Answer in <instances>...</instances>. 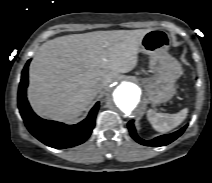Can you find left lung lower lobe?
Here are the masks:
<instances>
[{
  "mask_svg": "<svg viewBox=\"0 0 212 183\" xmlns=\"http://www.w3.org/2000/svg\"><path fill=\"white\" fill-rule=\"evenodd\" d=\"M187 126L183 127L182 129L172 133V134H167V135H162L159 137H156L155 139H153L152 141H145L143 139H141L140 137H138V135L136 134L135 128H134V124H133V120H131L128 123V128L131 134V137L138 143L142 144V145H146V146H165L171 142H173L175 139H177L186 129Z\"/></svg>",
  "mask_w": 212,
  "mask_h": 183,
  "instance_id": "obj_1",
  "label": "left lung lower lobe"
}]
</instances>
